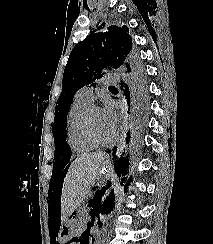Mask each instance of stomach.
Listing matches in <instances>:
<instances>
[{
  "instance_id": "0dacf381",
  "label": "stomach",
  "mask_w": 213,
  "mask_h": 244,
  "mask_svg": "<svg viewBox=\"0 0 213 244\" xmlns=\"http://www.w3.org/2000/svg\"><path fill=\"white\" fill-rule=\"evenodd\" d=\"M106 177V173L103 171H99L97 174V181H102ZM76 211L65 220L64 224L60 229V236L63 239H60V244H67V239H74V234L78 233L80 229V223L76 215Z\"/></svg>"
}]
</instances>
